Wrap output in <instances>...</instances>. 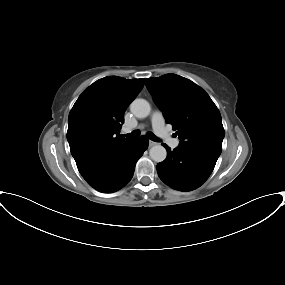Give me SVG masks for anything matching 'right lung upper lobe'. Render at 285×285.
Here are the masks:
<instances>
[{"instance_id": "obj_1", "label": "right lung upper lobe", "mask_w": 285, "mask_h": 285, "mask_svg": "<svg viewBox=\"0 0 285 285\" xmlns=\"http://www.w3.org/2000/svg\"><path fill=\"white\" fill-rule=\"evenodd\" d=\"M144 86V79L108 76L90 85L77 99L68 118L67 140L77 166L128 141L119 130L124 113Z\"/></svg>"}]
</instances>
